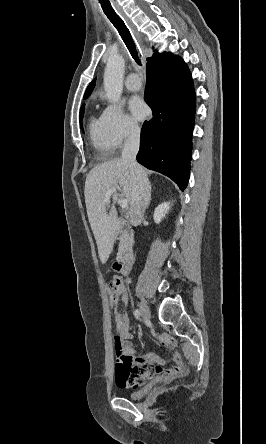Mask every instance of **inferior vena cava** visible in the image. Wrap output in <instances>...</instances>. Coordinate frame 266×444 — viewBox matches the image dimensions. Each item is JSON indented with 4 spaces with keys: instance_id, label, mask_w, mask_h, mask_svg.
<instances>
[{
    "instance_id": "1",
    "label": "inferior vena cava",
    "mask_w": 266,
    "mask_h": 444,
    "mask_svg": "<svg viewBox=\"0 0 266 444\" xmlns=\"http://www.w3.org/2000/svg\"><path fill=\"white\" fill-rule=\"evenodd\" d=\"M140 129L130 126L122 150V160L127 161L134 176V188L130 208V219L134 226L142 220L149 202V182L143 168L137 163L136 155L139 151Z\"/></svg>"
}]
</instances>
